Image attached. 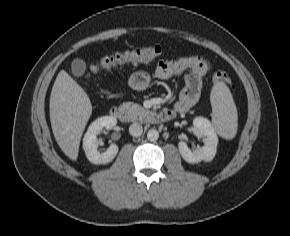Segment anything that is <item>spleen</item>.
<instances>
[{
  "instance_id": "obj_1",
  "label": "spleen",
  "mask_w": 290,
  "mask_h": 236,
  "mask_svg": "<svg viewBox=\"0 0 290 236\" xmlns=\"http://www.w3.org/2000/svg\"><path fill=\"white\" fill-rule=\"evenodd\" d=\"M212 123L217 133L232 139L237 132V108L229 88L223 82H216L210 95Z\"/></svg>"
}]
</instances>
